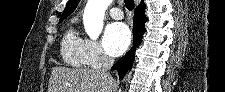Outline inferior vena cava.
Returning <instances> with one entry per match:
<instances>
[{
  "mask_svg": "<svg viewBox=\"0 0 225 92\" xmlns=\"http://www.w3.org/2000/svg\"><path fill=\"white\" fill-rule=\"evenodd\" d=\"M113 63H114L113 58L104 55L102 57V71L107 73L111 69Z\"/></svg>",
  "mask_w": 225,
  "mask_h": 92,
  "instance_id": "inferior-vena-cava-1",
  "label": "inferior vena cava"
}]
</instances>
